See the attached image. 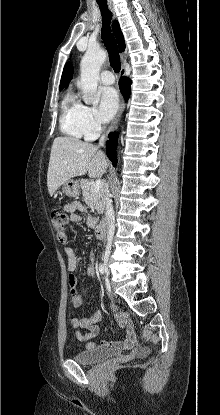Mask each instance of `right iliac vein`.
<instances>
[{
    "label": "right iliac vein",
    "instance_id": "63e3f726",
    "mask_svg": "<svg viewBox=\"0 0 220 415\" xmlns=\"http://www.w3.org/2000/svg\"><path fill=\"white\" fill-rule=\"evenodd\" d=\"M104 262V268L107 275H109V269H108V254L106 253L103 259Z\"/></svg>",
    "mask_w": 220,
    "mask_h": 415
}]
</instances>
